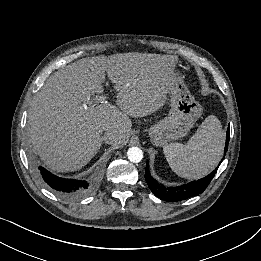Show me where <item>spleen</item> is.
Returning a JSON list of instances; mask_svg holds the SVG:
<instances>
[{
	"instance_id": "3e777b00",
	"label": "spleen",
	"mask_w": 261,
	"mask_h": 261,
	"mask_svg": "<svg viewBox=\"0 0 261 261\" xmlns=\"http://www.w3.org/2000/svg\"><path fill=\"white\" fill-rule=\"evenodd\" d=\"M223 145L222 125L216 116L210 115L186 144H167L163 152L178 176L198 179L216 167L222 156Z\"/></svg>"
}]
</instances>
